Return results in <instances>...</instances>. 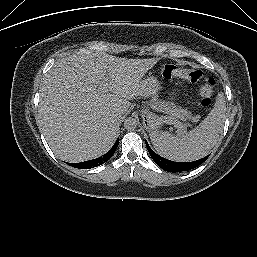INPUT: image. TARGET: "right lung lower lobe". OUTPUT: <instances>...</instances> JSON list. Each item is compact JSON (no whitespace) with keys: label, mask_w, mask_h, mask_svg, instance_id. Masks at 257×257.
<instances>
[{"label":"right lung lower lobe","mask_w":257,"mask_h":257,"mask_svg":"<svg viewBox=\"0 0 257 257\" xmlns=\"http://www.w3.org/2000/svg\"><path fill=\"white\" fill-rule=\"evenodd\" d=\"M118 144H119V140L115 143L113 148L102 157H99L90 161L81 162V163H68V164L72 167L79 168V169H89L92 167L99 166L104 162H107L112 157V155L114 154V152L118 147Z\"/></svg>","instance_id":"right-lung-lower-lobe-1"}]
</instances>
